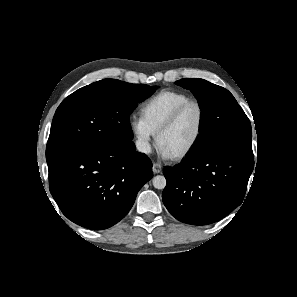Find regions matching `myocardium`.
Returning a JSON list of instances; mask_svg holds the SVG:
<instances>
[{"mask_svg":"<svg viewBox=\"0 0 297 297\" xmlns=\"http://www.w3.org/2000/svg\"><path fill=\"white\" fill-rule=\"evenodd\" d=\"M190 105H195L199 110L200 121H199L198 131L195 138L187 148H185L183 151L179 152L178 154H175L172 156L174 159H183L187 157L189 154H191L194 151V149L199 144L206 127V112L202 104L196 99H190L183 102L170 114V116L161 125V127L156 133V140H157V143H159L162 135L175 125V123L177 122V120L179 119L183 111Z\"/></svg>","mask_w":297,"mask_h":297,"instance_id":"myocardium-1","label":"myocardium"}]
</instances>
